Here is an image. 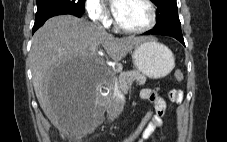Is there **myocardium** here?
I'll return each instance as SVG.
<instances>
[{
	"mask_svg": "<svg viewBox=\"0 0 227 142\" xmlns=\"http://www.w3.org/2000/svg\"><path fill=\"white\" fill-rule=\"evenodd\" d=\"M144 4L147 6L148 12H149V18L145 25L137 28H129L126 26H123L118 22L116 17H114V26L117 30L128 33V34H140L149 31L154 27L157 21V10L154 5V3L151 0H142Z\"/></svg>",
	"mask_w": 227,
	"mask_h": 142,
	"instance_id": "f54148a6",
	"label": "myocardium"
}]
</instances>
